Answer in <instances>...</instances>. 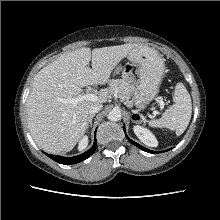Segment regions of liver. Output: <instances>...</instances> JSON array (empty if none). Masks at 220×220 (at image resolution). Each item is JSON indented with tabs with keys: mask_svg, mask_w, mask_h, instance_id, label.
I'll return each mask as SVG.
<instances>
[{
	"mask_svg": "<svg viewBox=\"0 0 220 220\" xmlns=\"http://www.w3.org/2000/svg\"><path fill=\"white\" fill-rule=\"evenodd\" d=\"M136 47L135 43L92 51L82 47L41 69L26 103L28 126L35 142L49 153L71 151L88 128L89 108L107 102L109 90L101 89L96 101L76 105L64 101L80 96L85 86L108 83L114 68ZM90 61L92 68L88 66Z\"/></svg>",
	"mask_w": 220,
	"mask_h": 220,
	"instance_id": "1",
	"label": "liver"
}]
</instances>
